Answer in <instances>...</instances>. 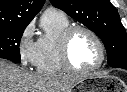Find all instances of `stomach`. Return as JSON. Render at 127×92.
<instances>
[{"mask_svg":"<svg viewBox=\"0 0 127 92\" xmlns=\"http://www.w3.org/2000/svg\"><path fill=\"white\" fill-rule=\"evenodd\" d=\"M108 78L100 74L84 77L77 85V92H108Z\"/></svg>","mask_w":127,"mask_h":92,"instance_id":"0dacf381","label":"stomach"}]
</instances>
